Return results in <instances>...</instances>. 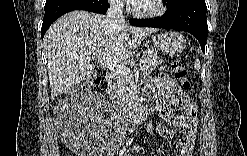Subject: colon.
<instances>
[{
  "label": "colon",
  "mask_w": 247,
  "mask_h": 156,
  "mask_svg": "<svg viewBox=\"0 0 247 156\" xmlns=\"http://www.w3.org/2000/svg\"><path fill=\"white\" fill-rule=\"evenodd\" d=\"M172 71L174 73V76L176 80L179 82L180 87L183 91H188L191 87L188 73L186 69L182 66V64L179 61H174L171 65ZM100 79L99 78H91L87 81V83L83 86V91H88L97 85H99Z\"/></svg>",
  "instance_id": "1"
}]
</instances>
